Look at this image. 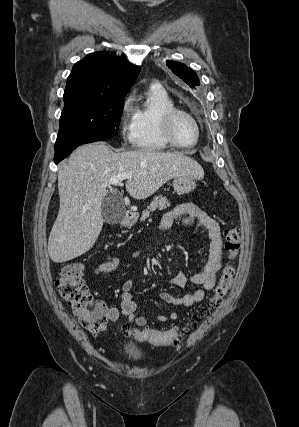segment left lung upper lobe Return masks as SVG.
<instances>
[{"mask_svg": "<svg viewBox=\"0 0 299 427\" xmlns=\"http://www.w3.org/2000/svg\"><path fill=\"white\" fill-rule=\"evenodd\" d=\"M166 65L171 71L186 82L191 88H195L200 84L198 76L195 71L187 67L185 64L167 60Z\"/></svg>", "mask_w": 299, "mask_h": 427, "instance_id": "5c2ea615", "label": "left lung upper lobe"}]
</instances>
